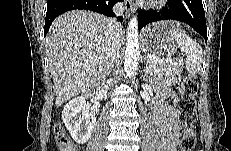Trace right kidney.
Masks as SVG:
<instances>
[{"label": "right kidney", "mask_w": 231, "mask_h": 151, "mask_svg": "<svg viewBox=\"0 0 231 151\" xmlns=\"http://www.w3.org/2000/svg\"><path fill=\"white\" fill-rule=\"evenodd\" d=\"M62 120L78 144H84L89 140L96 124L95 113L83 96L72 99L64 106Z\"/></svg>", "instance_id": "obj_1"}]
</instances>
